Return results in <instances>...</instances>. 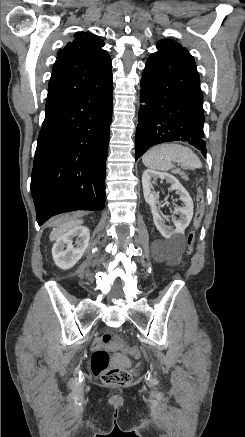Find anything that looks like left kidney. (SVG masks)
Wrapping results in <instances>:
<instances>
[{"instance_id": "5707ae66", "label": "left kidney", "mask_w": 245, "mask_h": 437, "mask_svg": "<svg viewBox=\"0 0 245 437\" xmlns=\"http://www.w3.org/2000/svg\"><path fill=\"white\" fill-rule=\"evenodd\" d=\"M166 180L167 183L171 184L170 189L176 190V193L179 195V200L183 202L182 207H178L175 205L174 215L179 214V219L176 217H172V222L174 223V227L167 226L165 224V220L159 213L157 208L158 203V195L151 191V179ZM142 186H143V194L145 201L151 208V213L153 215V221L160 232V234L166 239H177L179 238L185 231V229L189 226L192 217H193V201L190 197L187 190L182 186V184L177 180L176 177L169 173H162L155 170L147 169L143 172L142 175Z\"/></svg>"}]
</instances>
